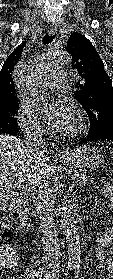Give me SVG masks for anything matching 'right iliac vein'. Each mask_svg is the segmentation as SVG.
<instances>
[{
	"label": "right iliac vein",
	"instance_id": "1",
	"mask_svg": "<svg viewBox=\"0 0 113 279\" xmlns=\"http://www.w3.org/2000/svg\"><path fill=\"white\" fill-rule=\"evenodd\" d=\"M41 271L44 272V273H47L49 270H48V267L43 266V267L41 268Z\"/></svg>",
	"mask_w": 113,
	"mask_h": 279
}]
</instances>
